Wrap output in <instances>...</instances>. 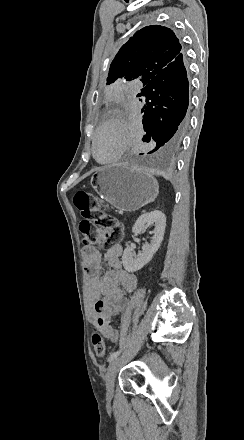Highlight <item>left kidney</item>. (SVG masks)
Returning <instances> with one entry per match:
<instances>
[{"label":"left kidney","mask_w":244,"mask_h":440,"mask_svg":"<svg viewBox=\"0 0 244 440\" xmlns=\"http://www.w3.org/2000/svg\"><path fill=\"white\" fill-rule=\"evenodd\" d=\"M148 224H154L155 228L153 232L150 234H154L150 244H144L142 248V254H135L133 248L127 246L123 252L122 256V264L126 270V272H137V270H141L145 264L150 262L151 258H153L154 254H156L164 236L165 226H166V218L165 214H162L160 210H154V212H148V214H142L139 216L138 220H136L132 232L133 234H140L145 230Z\"/></svg>","instance_id":"5707ae66"}]
</instances>
